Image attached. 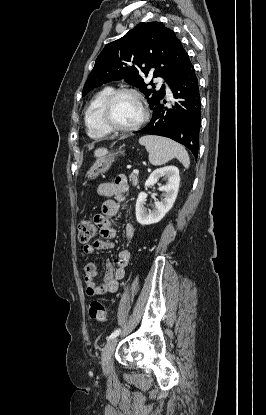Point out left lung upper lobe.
<instances>
[{"mask_svg": "<svg viewBox=\"0 0 266 415\" xmlns=\"http://www.w3.org/2000/svg\"><path fill=\"white\" fill-rule=\"evenodd\" d=\"M175 33L160 22H142L122 38L107 44L95 61L84 85L82 95L113 80L124 79L145 95L153 109L165 96L147 89L143 76L163 77L170 86L188 59ZM152 86V82H150Z\"/></svg>", "mask_w": 266, "mask_h": 415, "instance_id": "obj_1", "label": "left lung upper lobe"}]
</instances>
